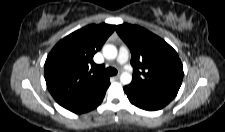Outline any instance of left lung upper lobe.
Returning a JSON list of instances; mask_svg holds the SVG:
<instances>
[{"label":"left lung upper lobe","mask_w":225,"mask_h":132,"mask_svg":"<svg viewBox=\"0 0 225 132\" xmlns=\"http://www.w3.org/2000/svg\"><path fill=\"white\" fill-rule=\"evenodd\" d=\"M116 31L131 51L133 78L129 86L145 93L175 97L183 79L177 52L163 39L137 26L124 23Z\"/></svg>","instance_id":"5c2ea615"}]
</instances>
